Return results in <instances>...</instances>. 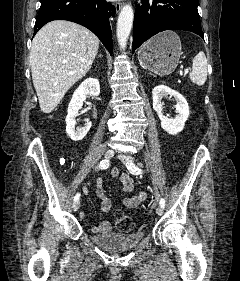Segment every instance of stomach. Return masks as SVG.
Instances as JSON below:
<instances>
[{
    "label": "stomach",
    "mask_w": 240,
    "mask_h": 281,
    "mask_svg": "<svg viewBox=\"0 0 240 281\" xmlns=\"http://www.w3.org/2000/svg\"><path fill=\"white\" fill-rule=\"evenodd\" d=\"M181 41L173 31H165L147 41L138 52L142 67L161 76L171 74L181 55Z\"/></svg>",
    "instance_id": "1"
}]
</instances>
